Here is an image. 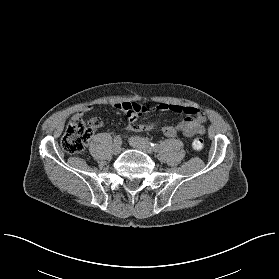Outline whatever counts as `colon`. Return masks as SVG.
<instances>
[{
	"instance_id": "1",
	"label": "colon",
	"mask_w": 279,
	"mask_h": 279,
	"mask_svg": "<svg viewBox=\"0 0 279 279\" xmlns=\"http://www.w3.org/2000/svg\"><path fill=\"white\" fill-rule=\"evenodd\" d=\"M141 107V104L138 103H127L125 108L133 114H139ZM100 123L99 118H91L87 123L81 120H70L62 137L63 149L71 154L82 152ZM191 144L194 150H200L204 146V140L201 136L196 135Z\"/></svg>"
}]
</instances>
